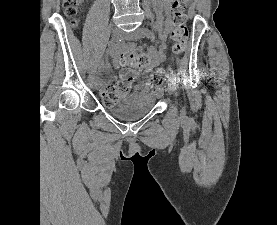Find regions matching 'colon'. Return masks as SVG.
Returning a JSON list of instances; mask_svg holds the SVG:
<instances>
[{
    "instance_id": "5ec220e1",
    "label": "colon",
    "mask_w": 277,
    "mask_h": 225,
    "mask_svg": "<svg viewBox=\"0 0 277 225\" xmlns=\"http://www.w3.org/2000/svg\"><path fill=\"white\" fill-rule=\"evenodd\" d=\"M81 2L82 0H63L64 13L68 17H74L78 13ZM188 2L189 0H173L171 7L173 14L172 52L176 55L182 54L187 46L188 28L185 9ZM119 62L123 66L120 79L100 89V96L105 104L117 103L129 94L137 79L138 71L150 65V57L136 51H129L122 54ZM165 81V74L162 71H156L148 77V84L156 87H162Z\"/></svg>"
}]
</instances>
